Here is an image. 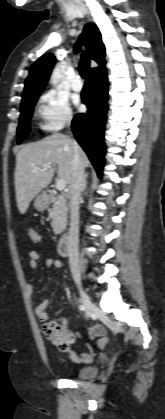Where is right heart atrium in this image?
I'll use <instances>...</instances> for the list:
<instances>
[{"instance_id":"right-heart-atrium-1","label":"right heart atrium","mask_w":165,"mask_h":419,"mask_svg":"<svg viewBox=\"0 0 165 419\" xmlns=\"http://www.w3.org/2000/svg\"><path fill=\"white\" fill-rule=\"evenodd\" d=\"M38 114L44 131L53 132L64 128L73 119V112L68 99L54 91L43 93L38 103Z\"/></svg>"}]
</instances>
